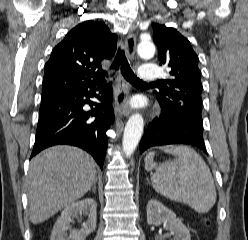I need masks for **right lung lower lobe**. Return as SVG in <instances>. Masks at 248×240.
I'll return each mask as SVG.
<instances>
[{
    "instance_id": "98d812e1",
    "label": "right lung lower lobe",
    "mask_w": 248,
    "mask_h": 240,
    "mask_svg": "<svg viewBox=\"0 0 248 240\" xmlns=\"http://www.w3.org/2000/svg\"><path fill=\"white\" fill-rule=\"evenodd\" d=\"M93 97L101 103L91 101ZM112 100V87L105 82L42 97L31 157L47 147L68 144L89 152L102 168L108 146L106 131L114 120ZM86 104L95 107L86 111Z\"/></svg>"
}]
</instances>
